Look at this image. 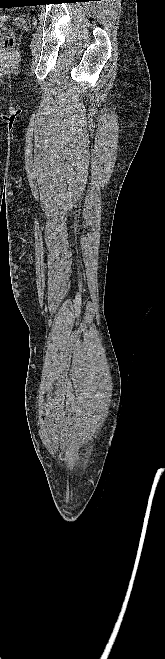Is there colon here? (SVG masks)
Returning <instances> with one entry per match:
<instances>
[{"mask_svg":"<svg viewBox=\"0 0 165 659\" xmlns=\"http://www.w3.org/2000/svg\"><path fill=\"white\" fill-rule=\"evenodd\" d=\"M14 45V37L9 28H5L0 38V48L10 50Z\"/></svg>","mask_w":165,"mask_h":659,"instance_id":"obj_1","label":"colon"}]
</instances>
